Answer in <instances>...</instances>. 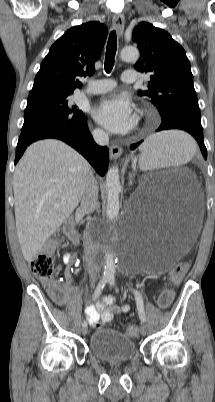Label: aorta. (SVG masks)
I'll return each mask as SVG.
<instances>
[{"mask_svg": "<svg viewBox=\"0 0 215 402\" xmlns=\"http://www.w3.org/2000/svg\"><path fill=\"white\" fill-rule=\"evenodd\" d=\"M120 58L125 62H135L139 59V51L136 47H124L121 50ZM107 208L106 213L109 219H115L119 214L121 192L119 169L117 166L111 167L106 175ZM99 256L104 262V277L114 278L116 252L113 250L111 242L103 240L99 248Z\"/></svg>", "mask_w": 215, "mask_h": 402, "instance_id": "1", "label": "aorta"}]
</instances>
